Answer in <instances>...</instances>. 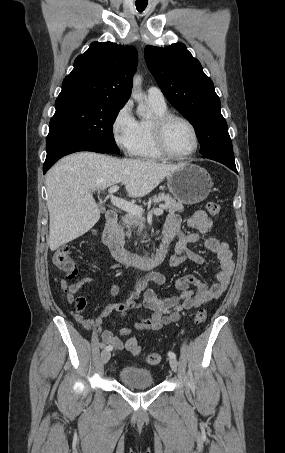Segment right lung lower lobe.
<instances>
[{
    "label": "right lung lower lobe",
    "mask_w": 285,
    "mask_h": 453,
    "mask_svg": "<svg viewBox=\"0 0 285 453\" xmlns=\"http://www.w3.org/2000/svg\"><path fill=\"white\" fill-rule=\"evenodd\" d=\"M47 156L43 166V173L61 157L78 152L92 151L107 153L93 142L83 138L69 127L60 123H50V131L46 139Z\"/></svg>",
    "instance_id": "98d812e1"
}]
</instances>
